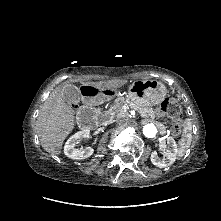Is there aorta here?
Returning a JSON list of instances; mask_svg holds the SVG:
<instances>
[{
  "mask_svg": "<svg viewBox=\"0 0 221 221\" xmlns=\"http://www.w3.org/2000/svg\"><path fill=\"white\" fill-rule=\"evenodd\" d=\"M157 132H158L157 127L154 124H146L143 127V134L147 138L155 137Z\"/></svg>",
  "mask_w": 221,
  "mask_h": 221,
  "instance_id": "1",
  "label": "aorta"
}]
</instances>
